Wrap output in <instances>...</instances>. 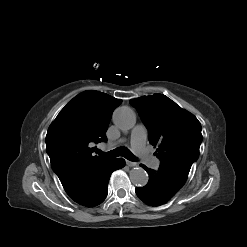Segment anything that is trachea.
<instances>
[{"mask_svg":"<svg viewBox=\"0 0 247 247\" xmlns=\"http://www.w3.org/2000/svg\"><path fill=\"white\" fill-rule=\"evenodd\" d=\"M97 153L99 155L102 156H107V157H119V156H123L126 159L130 160V161H136V157L132 154V152L130 150H128L127 148H123V147H118L112 151L109 152H102L100 150L97 151Z\"/></svg>","mask_w":247,"mask_h":247,"instance_id":"3493384b","label":"trachea"}]
</instances>
